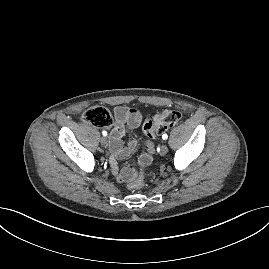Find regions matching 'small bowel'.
Wrapping results in <instances>:
<instances>
[{"label": "small bowel", "instance_id": "obj_1", "mask_svg": "<svg viewBox=\"0 0 269 269\" xmlns=\"http://www.w3.org/2000/svg\"><path fill=\"white\" fill-rule=\"evenodd\" d=\"M115 124L110 132V166L121 182H129L135 175L134 170L131 167L120 168L119 162L125 159L130 153H132L138 145L135 138L130 137L126 141V145H123L122 138L125 134L126 126L135 129L138 128L142 122V113L138 108L117 106L114 109ZM145 145L147 150L139 157L138 164L144 168L148 166L152 161V155L154 153V147L152 142L146 141Z\"/></svg>", "mask_w": 269, "mask_h": 269}]
</instances>
